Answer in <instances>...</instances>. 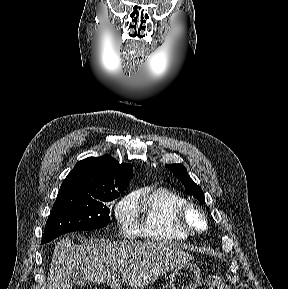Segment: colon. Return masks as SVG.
I'll use <instances>...</instances> for the list:
<instances>
[{"label": "colon", "instance_id": "colon-1", "mask_svg": "<svg viewBox=\"0 0 288 289\" xmlns=\"http://www.w3.org/2000/svg\"><path fill=\"white\" fill-rule=\"evenodd\" d=\"M207 289H230L227 281L217 275H211L206 280Z\"/></svg>", "mask_w": 288, "mask_h": 289}]
</instances>
